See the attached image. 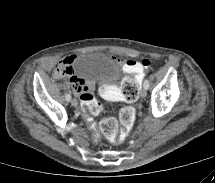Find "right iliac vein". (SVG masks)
Returning <instances> with one entry per match:
<instances>
[{
    "instance_id": "1",
    "label": "right iliac vein",
    "mask_w": 215,
    "mask_h": 183,
    "mask_svg": "<svg viewBox=\"0 0 215 183\" xmlns=\"http://www.w3.org/2000/svg\"><path fill=\"white\" fill-rule=\"evenodd\" d=\"M72 106L76 107L78 105V101L76 99H73L71 101Z\"/></svg>"
}]
</instances>
